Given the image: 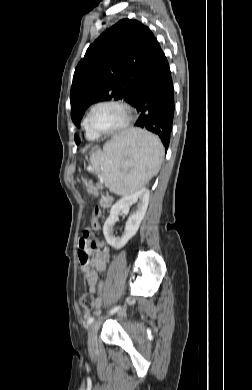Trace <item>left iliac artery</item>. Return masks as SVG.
I'll return each mask as SVG.
<instances>
[{"mask_svg": "<svg viewBox=\"0 0 252 390\" xmlns=\"http://www.w3.org/2000/svg\"><path fill=\"white\" fill-rule=\"evenodd\" d=\"M119 309H120V306H119V305L116 306V307H114V308L110 311V314L116 313ZM93 321H94V317H89L88 320H87V323H88V324H91V323H93Z\"/></svg>", "mask_w": 252, "mask_h": 390, "instance_id": "1", "label": "left iliac artery"}]
</instances>
